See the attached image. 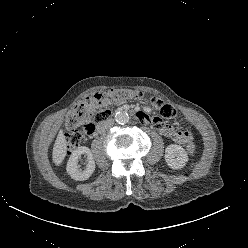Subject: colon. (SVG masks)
Instances as JSON below:
<instances>
[{
  "label": "colon",
  "mask_w": 248,
  "mask_h": 248,
  "mask_svg": "<svg viewBox=\"0 0 248 248\" xmlns=\"http://www.w3.org/2000/svg\"><path fill=\"white\" fill-rule=\"evenodd\" d=\"M134 96H141L140 93H134L128 90H110L95 94L76 104L67 114L65 125L68 129L66 142L68 151L71 153L82 143L86 135H91L95 131V124L105 120L110 111L109 105L123 99ZM189 154L197 152V146L193 142L187 145Z\"/></svg>",
  "instance_id": "1"
}]
</instances>
